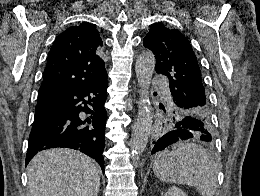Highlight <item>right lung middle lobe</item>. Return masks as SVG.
Returning <instances> with one entry per match:
<instances>
[{
	"label": "right lung middle lobe",
	"mask_w": 260,
	"mask_h": 196,
	"mask_svg": "<svg viewBox=\"0 0 260 196\" xmlns=\"http://www.w3.org/2000/svg\"><path fill=\"white\" fill-rule=\"evenodd\" d=\"M48 117H49L48 115L35 114L34 122H38V121L44 120V119H46Z\"/></svg>",
	"instance_id": "dd1d6c3e"
}]
</instances>
